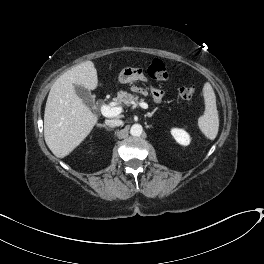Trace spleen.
<instances>
[{"instance_id": "1", "label": "spleen", "mask_w": 264, "mask_h": 264, "mask_svg": "<svg viewBox=\"0 0 264 264\" xmlns=\"http://www.w3.org/2000/svg\"><path fill=\"white\" fill-rule=\"evenodd\" d=\"M203 97L205 111L198 119V126L207 138L214 140L218 134L219 117L216 106V96L212 86L208 82L203 86Z\"/></svg>"}]
</instances>
